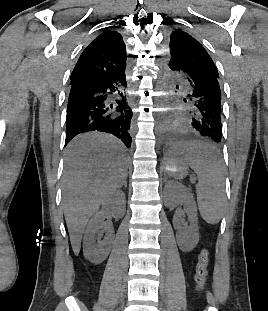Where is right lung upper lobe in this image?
I'll list each match as a JSON object with an SVG mask.
<instances>
[{"mask_svg": "<svg viewBox=\"0 0 268 311\" xmlns=\"http://www.w3.org/2000/svg\"><path fill=\"white\" fill-rule=\"evenodd\" d=\"M126 59V46L121 34L107 30L84 49L71 74V83L123 73Z\"/></svg>", "mask_w": 268, "mask_h": 311, "instance_id": "obj_1", "label": "right lung upper lobe"}]
</instances>
